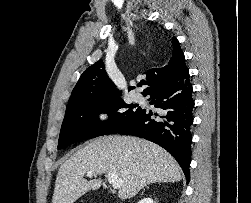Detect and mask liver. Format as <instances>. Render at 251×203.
Wrapping results in <instances>:
<instances>
[{"instance_id": "liver-1", "label": "liver", "mask_w": 251, "mask_h": 203, "mask_svg": "<svg viewBox=\"0 0 251 203\" xmlns=\"http://www.w3.org/2000/svg\"><path fill=\"white\" fill-rule=\"evenodd\" d=\"M94 175L114 172L123 180L118 197L132 198L145 186L156 182H178L181 170L176 160L160 146L131 136H104L79 148L59 168L52 203H74L91 190H98L101 179Z\"/></svg>"}]
</instances>
